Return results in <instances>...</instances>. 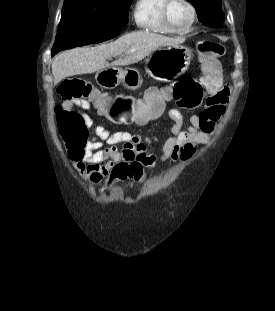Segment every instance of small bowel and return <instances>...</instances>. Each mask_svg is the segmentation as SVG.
<instances>
[{"label":"small bowel","instance_id":"1","mask_svg":"<svg viewBox=\"0 0 275 311\" xmlns=\"http://www.w3.org/2000/svg\"><path fill=\"white\" fill-rule=\"evenodd\" d=\"M203 83L209 93L205 106H201L199 115H192L188 125L184 129V112H195V105H178L167 113V120L171 123L169 128L163 129L162 133L170 136L164 141L160 157L149 153V145L159 141L157 136H147L128 131L111 132L103 126L94 129L95 137L79 152L72 157L73 168L79 173L86 184L96 185L108 177L118 164H130L136 162L148 168H154L158 163H171L181 153L182 147L188 142H198L211 134L215 128V122L224 112V105L228 101L231 87L223 85L221 74L214 73L203 79ZM78 106L83 110L90 109L89 104H73L64 102L63 108L70 110ZM85 123L92 125L87 114L81 113ZM205 119V120H204Z\"/></svg>","mask_w":275,"mask_h":311}]
</instances>
